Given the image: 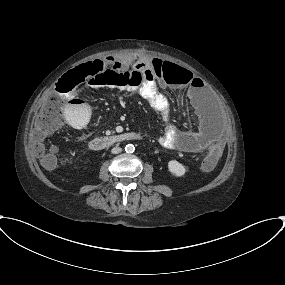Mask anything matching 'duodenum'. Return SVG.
Here are the masks:
<instances>
[{"label": "duodenum", "mask_w": 285, "mask_h": 285, "mask_svg": "<svg viewBox=\"0 0 285 285\" xmlns=\"http://www.w3.org/2000/svg\"><path fill=\"white\" fill-rule=\"evenodd\" d=\"M140 138L141 135L135 132H124V133L105 135L91 140L90 148L92 150H103L111 146L120 145L130 141H136L139 140Z\"/></svg>", "instance_id": "410a0bca"}]
</instances>
